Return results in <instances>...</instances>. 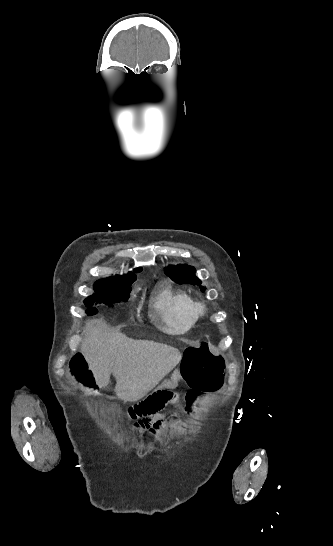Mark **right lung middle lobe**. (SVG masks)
I'll return each instance as SVG.
<instances>
[{
	"instance_id": "dd1d6c3e",
	"label": "right lung middle lobe",
	"mask_w": 333,
	"mask_h": 546,
	"mask_svg": "<svg viewBox=\"0 0 333 546\" xmlns=\"http://www.w3.org/2000/svg\"><path fill=\"white\" fill-rule=\"evenodd\" d=\"M136 280V275L125 274L123 276L116 275L115 277H109L100 279L94 283L93 295L87 297L84 300V304L87 307H91L94 304H107L113 306L112 303H118L119 301H126L131 291V284ZM91 309H87V314L91 315Z\"/></svg>"
}]
</instances>
